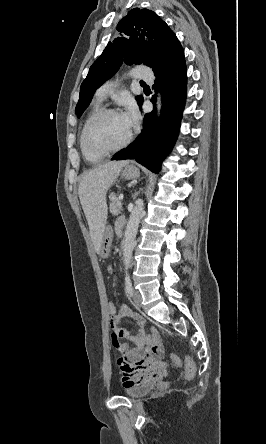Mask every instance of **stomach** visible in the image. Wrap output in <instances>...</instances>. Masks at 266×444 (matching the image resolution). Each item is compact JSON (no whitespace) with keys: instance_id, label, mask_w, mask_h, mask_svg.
Listing matches in <instances>:
<instances>
[{"instance_id":"0dacf381","label":"stomach","mask_w":266,"mask_h":444,"mask_svg":"<svg viewBox=\"0 0 266 444\" xmlns=\"http://www.w3.org/2000/svg\"><path fill=\"white\" fill-rule=\"evenodd\" d=\"M140 172L139 169L134 165H126L124 169L121 172L122 178L126 180L135 179L139 176ZM113 240V232L110 227H105L104 234H103V240L101 245L100 254L103 256H107L109 252V248L112 244Z\"/></svg>"}]
</instances>
